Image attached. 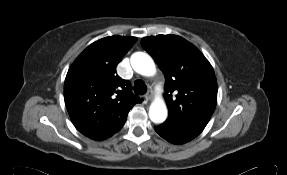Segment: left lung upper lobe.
<instances>
[{
  "instance_id": "left-lung-upper-lobe-1",
  "label": "left lung upper lobe",
  "mask_w": 287,
  "mask_h": 175,
  "mask_svg": "<svg viewBox=\"0 0 287 175\" xmlns=\"http://www.w3.org/2000/svg\"><path fill=\"white\" fill-rule=\"evenodd\" d=\"M142 47L165 76L169 116L165 125L194 139L210 120L217 103V81L209 61L177 35L144 37Z\"/></svg>"
}]
</instances>
